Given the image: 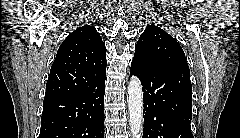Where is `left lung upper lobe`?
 I'll use <instances>...</instances> for the list:
<instances>
[{
  "label": "left lung upper lobe",
  "instance_id": "1",
  "mask_svg": "<svg viewBox=\"0 0 240 138\" xmlns=\"http://www.w3.org/2000/svg\"><path fill=\"white\" fill-rule=\"evenodd\" d=\"M133 59L147 66H182L189 69L178 42L154 25H148L141 34Z\"/></svg>",
  "mask_w": 240,
  "mask_h": 138
}]
</instances>
